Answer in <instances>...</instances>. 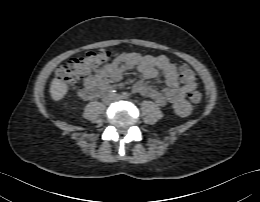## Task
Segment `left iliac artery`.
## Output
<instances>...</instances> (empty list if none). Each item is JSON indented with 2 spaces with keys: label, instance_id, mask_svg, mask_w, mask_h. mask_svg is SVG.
<instances>
[{
  "label": "left iliac artery",
  "instance_id": "obj_1",
  "mask_svg": "<svg viewBox=\"0 0 260 202\" xmlns=\"http://www.w3.org/2000/svg\"><path fill=\"white\" fill-rule=\"evenodd\" d=\"M123 98H129V94L127 92L122 93Z\"/></svg>",
  "mask_w": 260,
  "mask_h": 202
}]
</instances>
